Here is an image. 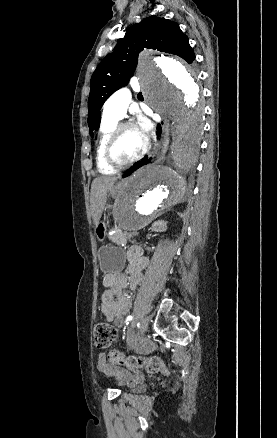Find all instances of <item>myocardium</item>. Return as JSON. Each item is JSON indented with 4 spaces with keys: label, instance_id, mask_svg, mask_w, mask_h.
<instances>
[{
    "label": "myocardium",
    "instance_id": "obj_1",
    "mask_svg": "<svg viewBox=\"0 0 277 438\" xmlns=\"http://www.w3.org/2000/svg\"><path fill=\"white\" fill-rule=\"evenodd\" d=\"M127 128H133L138 132L137 127L133 123H131L129 121L120 122V123L116 124V126L114 127L113 131L111 132V134L107 140V143H106V146L104 149V159H105V162L109 166H111L112 168L121 169V168H126L128 166L133 165L134 163L139 161L144 156V154L147 150V141L143 140L142 149L137 156H135L134 158L127 160V161H119V160L115 159L114 154H113L115 145H116L121 133Z\"/></svg>",
    "mask_w": 277,
    "mask_h": 438
}]
</instances>
